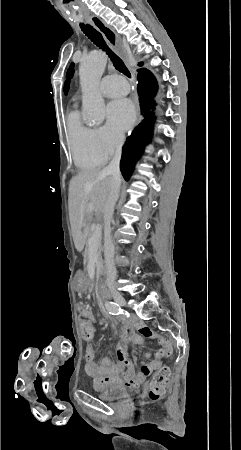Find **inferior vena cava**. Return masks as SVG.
Masks as SVG:
<instances>
[{"label": "inferior vena cava", "mask_w": 241, "mask_h": 450, "mask_svg": "<svg viewBox=\"0 0 241 450\" xmlns=\"http://www.w3.org/2000/svg\"><path fill=\"white\" fill-rule=\"evenodd\" d=\"M125 136H120L116 140V152L115 156L110 162L107 168H104L103 174L106 176H113L110 198L107 202L106 212L109 216L108 222L105 224L104 228V258H105V268L107 274V284L113 288L114 282L116 280V266L114 262L115 248L112 242L110 220L113 216L114 206L119 198L120 186H121V176H120V160L122 154V146L124 144Z\"/></svg>", "instance_id": "inferior-vena-cava-1"}]
</instances>
